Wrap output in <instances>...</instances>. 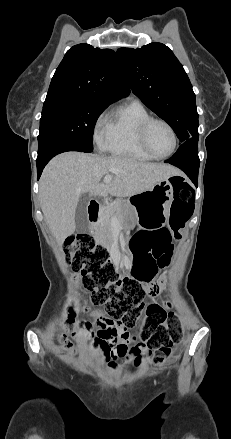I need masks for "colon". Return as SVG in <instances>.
<instances>
[{
    "label": "colon",
    "instance_id": "5ec220e1",
    "mask_svg": "<svg viewBox=\"0 0 231 439\" xmlns=\"http://www.w3.org/2000/svg\"><path fill=\"white\" fill-rule=\"evenodd\" d=\"M173 190L176 200L171 205L169 227L176 234H180L193 213V188L184 180L178 179L173 182ZM142 239L141 235H136L131 240L134 251L136 242ZM63 250L70 268L81 274L83 286L91 293L93 301L103 304L113 320L126 327H133L145 308L143 299L147 284L156 270L137 263L132 267L131 275L121 277L107 248L90 234H77L67 238ZM169 263L170 258L163 256L158 266L163 268ZM146 311L141 337L155 349L154 363L161 364L170 356L172 346L180 341V322L177 316L159 305L147 307ZM104 351L107 360L113 359L108 351Z\"/></svg>",
    "mask_w": 231,
    "mask_h": 439
}]
</instances>
